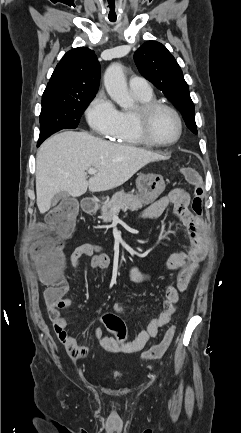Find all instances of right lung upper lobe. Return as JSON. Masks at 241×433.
Segmentation results:
<instances>
[{
  "label": "right lung upper lobe",
  "instance_id": "obj_1",
  "mask_svg": "<svg viewBox=\"0 0 241 433\" xmlns=\"http://www.w3.org/2000/svg\"><path fill=\"white\" fill-rule=\"evenodd\" d=\"M99 80L100 64L94 51L86 47L75 48L68 51L56 66L42 101L94 98Z\"/></svg>",
  "mask_w": 241,
  "mask_h": 433
}]
</instances>
